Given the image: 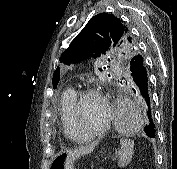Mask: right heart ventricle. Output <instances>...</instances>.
<instances>
[{"label":"right heart ventricle","mask_w":177,"mask_h":169,"mask_svg":"<svg viewBox=\"0 0 177 169\" xmlns=\"http://www.w3.org/2000/svg\"><path fill=\"white\" fill-rule=\"evenodd\" d=\"M75 97L76 91L73 88L68 87L63 91L59 104V115L62 131L64 135L71 141H77L75 139V133L70 117L71 107Z\"/></svg>","instance_id":"obj_1"}]
</instances>
